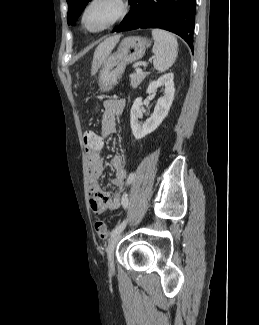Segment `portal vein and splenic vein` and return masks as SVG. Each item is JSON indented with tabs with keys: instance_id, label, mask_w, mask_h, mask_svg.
Masks as SVG:
<instances>
[{
	"instance_id": "obj_1",
	"label": "portal vein and splenic vein",
	"mask_w": 259,
	"mask_h": 325,
	"mask_svg": "<svg viewBox=\"0 0 259 325\" xmlns=\"http://www.w3.org/2000/svg\"><path fill=\"white\" fill-rule=\"evenodd\" d=\"M136 72H137V73H141V72H142V69H141V68H138V69L136 70Z\"/></svg>"
}]
</instances>
